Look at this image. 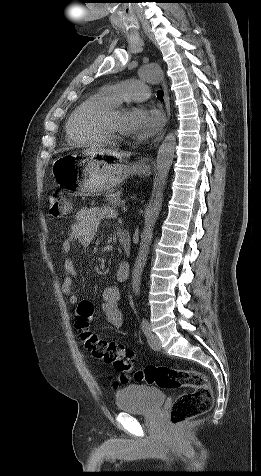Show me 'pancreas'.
<instances>
[{"instance_id": "cf45deb5", "label": "pancreas", "mask_w": 261, "mask_h": 476, "mask_svg": "<svg viewBox=\"0 0 261 476\" xmlns=\"http://www.w3.org/2000/svg\"><path fill=\"white\" fill-rule=\"evenodd\" d=\"M120 192H110L106 195V200L114 207L121 206L124 204V201L120 198Z\"/></svg>"}]
</instances>
